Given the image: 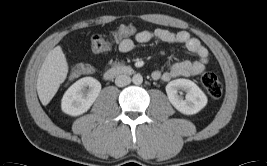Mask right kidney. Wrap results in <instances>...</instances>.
<instances>
[{"label":"right kidney","instance_id":"ca27d5eb","mask_svg":"<svg viewBox=\"0 0 267 166\" xmlns=\"http://www.w3.org/2000/svg\"><path fill=\"white\" fill-rule=\"evenodd\" d=\"M101 84L92 77H84L72 84L62 98V111L71 116L85 113L95 102Z\"/></svg>","mask_w":267,"mask_h":166}]
</instances>
